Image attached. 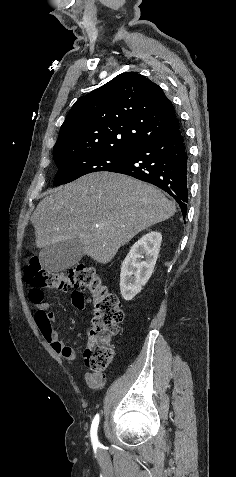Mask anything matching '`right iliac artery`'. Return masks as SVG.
<instances>
[{"label": "right iliac artery", "instance_id": "1", "mask_svg": "<svg viewBox=\"0 0 236 477\" xmlns=\"http://www.w3.org/2000/svg\"><path fill=\"white\" fill-rule=\"evenodd\" d=\"M98 424H99V414H97L94 417V419L92 421L91 429H90L91 441H92L93 446H95V447L99 446V441H98V436H97Z\"/></svg>", "mask_w": 236, "mask_h": 477}]
</instances>
